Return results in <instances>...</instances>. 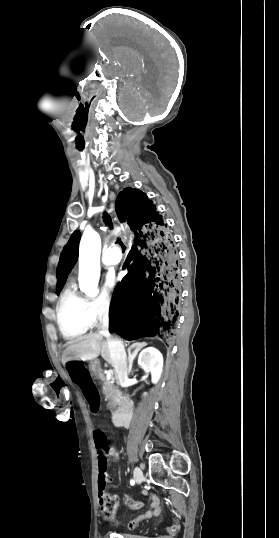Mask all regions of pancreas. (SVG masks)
I'll return each instance as SVG.
<instances>
[{
  "instance_id": "1",
  "label": "pancreas",
  "mask_w": 279,
  "mask_h": 538,
  "mask_svg": "<svg viewBox=\"0 0 279 538\" xmlns=\"http://www.w3.org/2000/svg\"><path fill=\"white\" fill-rule=\"evenodd\" d=\"M102 384V394L105 396V400L108 402V406L110 410L116 406V404H119V396L120 392L115 388L114 384L112 382H109V380H105V376H100Z\"/></svg>"
}]
</instances>
